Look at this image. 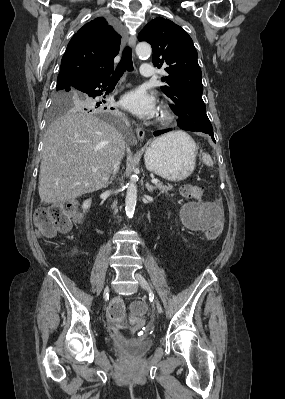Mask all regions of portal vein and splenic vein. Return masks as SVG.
<instances>
[{
	"mask_svg": "<svg viewBox=\"0 0 285 399\" xmlns=\"http://www.w3.org/2000/svg\"><path fill=\"white\" fill-rule=\"evenodd\" d=\"M92 171H93V172H96V171H97V168H92ZM151 182H152L153 184H157V183L159 182V180H158V179H152Z\"/></svg>",
	"mask_w": 285,
	"mask_h": 399,
	"instance_id": "1",
	"label": "portal vein and splenic vein"
}]
</instances>
